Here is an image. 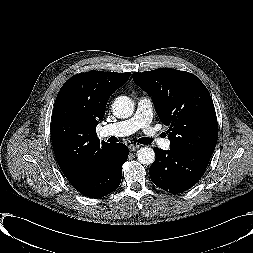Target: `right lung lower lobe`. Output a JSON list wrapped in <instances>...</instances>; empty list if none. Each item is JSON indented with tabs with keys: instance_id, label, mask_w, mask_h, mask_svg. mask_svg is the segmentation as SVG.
<instances>
[{
	"instance_id": "1",
	"label": "right lung lower lobe",
	"mask_w": 253,
	"mask_h": 253,
	"mask_svg": "<svg viewBox=\"0 0 253 253\" xmlns=\"http://www.w3.org/2000/svg\"><path fill=\"white\" fill-rule=\"evenodd\" d=\"M128 152L122 143L110 144L89 167L85 177L73 187L91 198H101L113 192L120 185L122 165Z\"/></svg>"
}]
</instances>
